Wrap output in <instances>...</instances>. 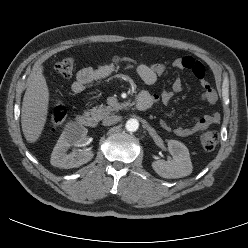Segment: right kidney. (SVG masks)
Masks as SVG:
<instances>
[{"label": "right kidney", "instance_id": "ca27d5eb", "mask_svg": "<svg viewBox=\"0 0 248 248\" xmlns=\"http://www.w3.org/2000/svg\"><path fill=\"white\" fill-rule=\"evenodd\" d=\"M88 130L83 126H70L66 128L59 137L51 154L50 163L59 168L70 169L80 167L93 158L92 151L74 150L67 154L70 146H82L86 143Z\"/></svg>", "mask_w": 248, "mask_h": 248}]
</instances>
